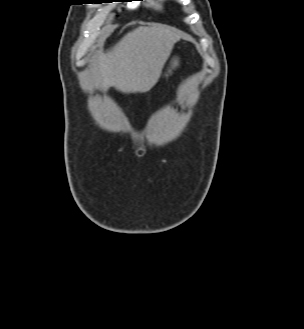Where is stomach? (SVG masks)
<instances>
[{
    "label": "stomach",
    "instance_id": "1",
    "mask_svg": "<svg viewBox=\"0 0 304 329\" xmlns=\"http://www.w3.org/2000/svg\"><path fill=\"white\" fill-rule=\"evenodd\" d=\"M179 65V59L178 58H174L171 62V68L174 69ZM168 72H171V70H169Z\"/></svg>",
    "mask_w": 304,
    "mask_h": 329
}]
</instances>
